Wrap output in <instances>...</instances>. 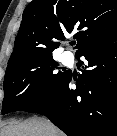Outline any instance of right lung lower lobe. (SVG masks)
Listing matches in <instances>:
<instances>
[{
	"label": "right lung lower lobe",
	"mask_w": 117,
	"mask_h": 136,
	"mask_svg": "<svg viewBox=\"0 0 117 136\" xmlns=\"http://www.w3.org/2000/svg\"><path fill=\"white\" fill-rule=\"evenodd\" d=\"M87 63L72 89V75L21 110L47 116L68 136H117V30L77 54Z\"/></svg>",
	"instance_id": "obj_1"
}]
</instances>
